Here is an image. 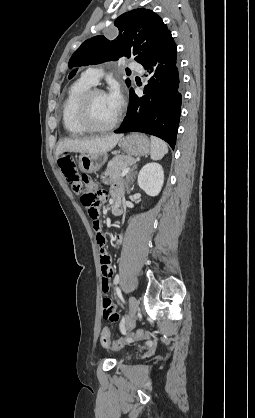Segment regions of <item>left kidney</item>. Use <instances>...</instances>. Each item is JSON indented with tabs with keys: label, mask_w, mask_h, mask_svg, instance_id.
Returning <instances> with one entry per match:
<instances>
[{
	"label": "left kidney",
	"mask_w": 255,
	"mask_h": 418,
	"mask_svg": "<svg viewBox=\"0 0 255 418\" xmlns=\"http://www.w3.org/2000/svg\"><path fill=\"white\" fill-rule=\"evenodd\" d=\"M164 183V172L158 163H147L138 175L139 187L149 196H157Z\"/></svg>",
	"instance_id": "5707ae66"
}]
</instances>
